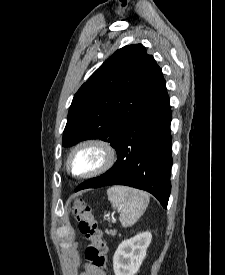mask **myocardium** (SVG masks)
I'll list each match as a JSON object with an SVG mask.
<instances>
[{
    "label": "myocardium",
    "mask_w": 225,
    "mask_h": 275,
    "mask_svg": "<svg viewBox=\"0 0 225 275\" xmlns=\"http://www.w3.org/2000/svg\"><path fill=\"white\" fill-rule=\"evenodd\" d=\"M86 149H92L99 153V163L85 172L76 173L71 167L72 159L78 152ZM115 161L116 152L109 143L97 139H87L79 142L71 149L67 156L65 166L67 172L73 177L90 178L108 171L114 165Z\"/></svg>",
    "instance_id": "myocardium-1"
}]
</instances>
